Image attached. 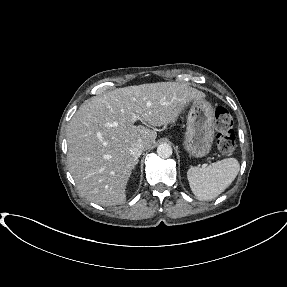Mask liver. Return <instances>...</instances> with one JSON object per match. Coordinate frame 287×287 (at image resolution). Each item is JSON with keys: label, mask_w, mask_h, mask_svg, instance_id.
<instances>
[{"label": "liver", "mask_w": 287, "mask_h": 287, "mask_svg": "<svg viewBox=\"0 0 287 287\" xmlns=\"http://www.w3.org/2000/svg\"><path fill=\"white\" fill-rule=\"evenodd\" d=\"M204 93L183 82H158L118 88L82 104L67 126V164L81 196L102 206L126 201V186L137 142L151 148L160 127Z\"/></svg>", "instance_id": "liver-1"}]
</instances>
